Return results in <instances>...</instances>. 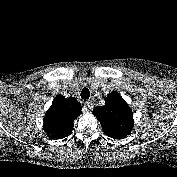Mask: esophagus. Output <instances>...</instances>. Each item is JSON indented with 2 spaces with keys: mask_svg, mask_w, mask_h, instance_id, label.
Instances as JSON below:
<instances>
[{
  "mask_svg": "<svg viewBox=\"0 0 177 177\" xmlns=\"http://www.w3.org/2000/svg\"><path fill=\"white\" fill-rule=\"evenodd\" d=\"M85 109H92L94 107V102L92 100H88L84 103Z\"/></svg>",
  "mask_w": 177,
  "mask_h": 177,
  "instance_id": "obj_1",
  "label": "esophagus"
}]
</instances>
